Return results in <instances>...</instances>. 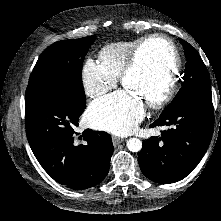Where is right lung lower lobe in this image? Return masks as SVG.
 <instances>
[{
  "label": "right lung lower lobe",
  "mask_w": 221,
  "mask_h": 221,
  "mask_svg": "<svg viewBox=\"0 0 221 221\" xmlns=\"http://www.w3.org/2000/svg\"><path fill=\"white\" fill-rule=\"evenodd\" d=\"M85 108L86 101L62 86L26 104L27 138L35 157L50 177L75 190L105 178L114 150L106 132H75Z\"/></svg>",
  "instance_id": "1"
}]
</instances>
